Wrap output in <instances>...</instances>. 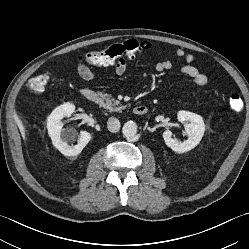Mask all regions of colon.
<instances>
[{"mask_svg":"<svg viewBox=\"0 0 249 249\" xmlns=\"http://www.w3.org/2000/svg\"><path fill=\"white\" fill-rule=\"evenodd\" d=\"M151 44L146 41L130 40L124 43L113 44L105 49L91 50L83 55V59L90 64L105 65L121 58H134L142 51L150 49ZM50 76L48 73L38 74L27 82V87L33 93H42L47 88ZM244 103L239 95H231L228 107L232 112L238 113L243 109Z\"/></svg>","mask_w":249,"mask_h":249,"instance_id":"obj_1","label":"colon"}]
</instances>
